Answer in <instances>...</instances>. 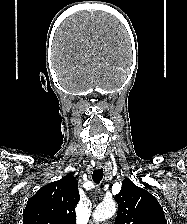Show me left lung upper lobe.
<instances>
[{
	"mask_svg": "<svg viewBox=\"0 0 187 224\" xmlns=\"http://www.w3.org/2000/svg\"><path fill=\"white\" fill-rule=\"evenodd\" d=\"M116 201L118 213L115 224H167L157 199L129 178L124 179Z\"/></svg>",
	"mask_w": 187,
	"mask_h": 224,
	"instance_id": "obj_1",
	"label": "left lung upper lobe"
}]
</instances>
